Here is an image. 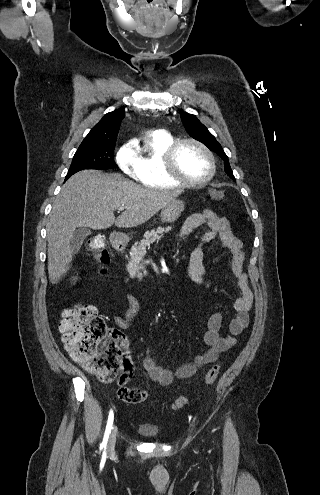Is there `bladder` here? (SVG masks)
<instances>
[{
  "mask_svg": "<svg viewBox=\"0 0 320 495\" xmlns=\"http://www.w3.org/2000/svg\"><path fill=\"white\" fill-rule=\"evenodd\" d=\"M138 431L146 437H155L159 434V427L153 424L144 423L139 425Z\"/></svg>",
  "mask_w": 320,
  "mask_h": 495,
  "instance_id": "31cf9c89",
  "label": "bladder"
}]
</instances>
